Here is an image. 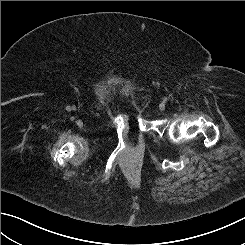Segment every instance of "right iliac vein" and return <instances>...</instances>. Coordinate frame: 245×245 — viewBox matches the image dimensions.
<instances>
[{"mask_svg": "<svg viewBox=\"0 0 245 245\" xmlns=\"http://www.w3.org/2000/svg\"><path fill=\"white\" fill-rule=\"evenodd\" d=\"M76 123H77V125H78L79 127H81V126L83 125V123H82L81 120L76 121Z\"/></svg>", "mask_w": 245, "mask_h": 245, "instance_id": "1", "label": "right iliac vein"}]
</instances>
